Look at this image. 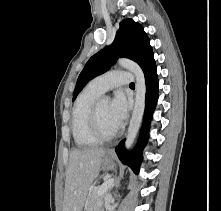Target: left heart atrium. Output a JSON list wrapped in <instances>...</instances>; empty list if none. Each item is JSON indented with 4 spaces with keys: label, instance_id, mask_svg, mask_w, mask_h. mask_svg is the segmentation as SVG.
<instances>
[{
    "label": "left heart atrium",
    "instance_id": "1",
    "mask_svg": "<svg viewBox=\"0 0 221 211\" xmlns=\"http://www.w3.org/2000/svg\"><path fill=\"white\" fill-rule=\"evenodd\" d=\"M128 111L129 103L126 96L121 91L117 92L109 104L110 117L117 129L123 126L128 115Z\"/></svg>",
    "mask_w": 221,
    "mask_h": 211
}]
</instances>
